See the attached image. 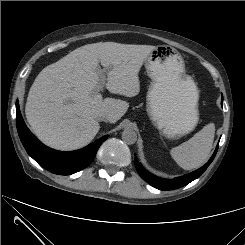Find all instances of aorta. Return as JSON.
Wrapping results in <instances>:
<instances>
[{
    "mask_svg": "<svg viewBox=\"0 0 245 245\" xmlns=\"http://www.w3.org/2000/svg\"><path fill=\"white\" fill-rule=\"evenodd\" d=\"M122 140L128 145L134 144L137 141V134L133 129L126 128L122 132Z\"/></svg>",
    "mask_w": 245,
    "mask_h": 245,
    "instance_id": "aorta-1",
    "label": "aorta"
}]
</instances>
